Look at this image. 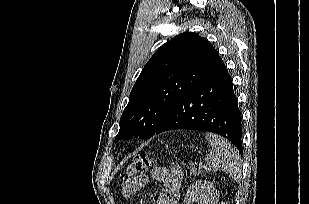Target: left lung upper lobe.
<instances>
[{
    "mask_svg": "<svg viewBox=\"0 0 309 204\" xmlns=\"http://www.w3.org/2000/svg\"><path fill=\"white\" fill-rule=\"evenodd\" d=\"M223 64L210 42L195 32L162 45L134 84L115 139L149 138L173 107Z\"/></svg>",
    "mask_w": 309,
    "mask_h": 204,
    "instance_id": "5c2ea615",
    "label": "left lung upper lobe"
}]
</instances>
